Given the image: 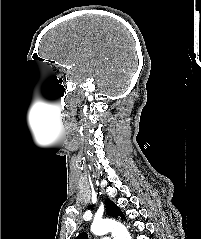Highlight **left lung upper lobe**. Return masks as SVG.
<instances>
[{
	"mask_svg": "<svg viewBox=\"0 0 201 239\" xmlns=\"http://www.w3.org/2000/svg\"><path fill=\"white\" fill-rule=\"evenodd\" d=\"M106 212L108 215L112 216V217H122L123 219H125V216L123 215L122 211L120 210L119 207L116 206V204L109 200L106 199ZM75 239H88V235L83 232L81 234H79Z\"/></svg>",
	"mask_w": 201,
	"mask_h": 239,
	"instance_id": "5c2ea615",
	"label": "left lung upper lobe"
}]
</instances>
